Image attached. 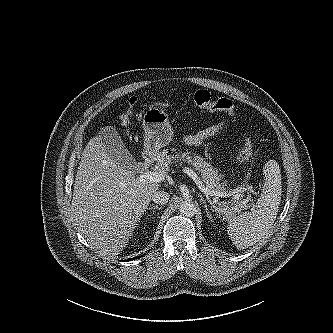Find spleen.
<instances>
[{
	"instance_id": "obj_1",
	"label": "spleen",
	"mask_w": 333,
	"mask_h": 333,
	"mask_svg": "<svg viewBox=\"0 0 333 333\" xmlns=\"http://www.w3.org/2000/svg\"><path fill=\"white\" fill-rule=\"evenodd\" d=\"M264 185L254 208L229 219L228 235L237 249L242 250L259 242L272 228L281 202V171L275 160L263 168Z\"/></svg>"
}]
</instances>
